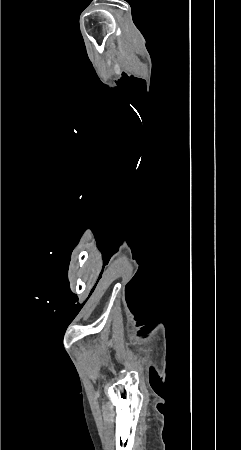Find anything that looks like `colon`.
Instances as JSON below:
<instances>
[{"mask_svg": "<svg viewBox=\"0 0 241 450\" xmlns=\"http://www.w3.org/2000/svg\"><path fill=\"white\" fill-rule=\"evenodd\" d=\"M102 303H103L104 305H107V304L109 303V300H108L107 298H104V299L102 300Z\"/></svg>", "mask_w": 241, "mask_h": 450, "instance_id": "obj_1", "label": "colon"}]
</instances>
